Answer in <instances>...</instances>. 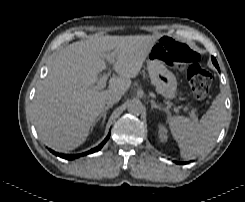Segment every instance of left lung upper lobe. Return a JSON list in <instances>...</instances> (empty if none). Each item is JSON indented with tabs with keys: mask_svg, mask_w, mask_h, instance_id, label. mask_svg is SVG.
<instances>
[{
	"mask_svg": "<svg viewBox=\"0 0 245 202\" xmlns=\"http://www.w3.org/2000/svg\"><path fill=\"white\" fill-rule=\"evenodd\" d=\"M212 62L215 65V67L219 70L218 63H217V61H216V59L214 57H212Z\"/></svg>",
	"mask_w": 245,
	"mask_h": 202,
	"instance_id": "5c2ea615",
	"label": "left lung upper lobe"
}]
</instances>
